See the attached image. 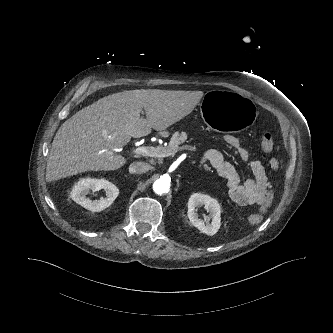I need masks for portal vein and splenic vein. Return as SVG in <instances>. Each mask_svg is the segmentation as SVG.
I'll return each mask as SVG.
<instances>
[{
    "label": "portal vein and splenic vein",
    "instance_id": "portal-vein-and-splenic-vein-1",
    "mask_svg": "<svg viewBox=\"0 0 333 333\" xmlns=\"http://www.w3.org/2000/svg\"><path fill=\"white\" fill-rule=\"evenodd\" d=\"M118 151V150H116ZM131 153L141 156L158 157L163 158L176 153L175 149H167L163 146H140L131 150Z\"/></svg>",
    "mask_w": 333,
    "mask_h": 333
}]
</instances>
